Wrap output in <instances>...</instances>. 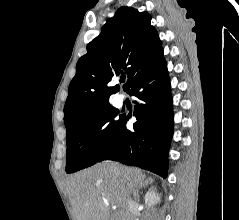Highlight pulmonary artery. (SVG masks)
<instances>
[{
  "mask_svg": "<svg viewBox=\"0 0 239 220\" xmlns=\"http://www.w3.org/2000/svg\"><path fill=\"white\" fill-rule=\"evenodd\" d=\"M121 102H122V99H121V98H118V99H117V103H118V104H121Z\"/></svg>",
  "mask_w": 239,
  "mask_h": 220,
  "instance_id": "obj_1",
  "label": "pulmonary artery"
}]
</instances>
